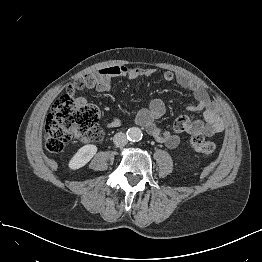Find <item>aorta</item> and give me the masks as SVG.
Wrapping results in <instances>:
<instances>
[{
    "mask_svg": "<svg viewBox=\"0 0 262 262\" xmlns=\"http://www.w3.org/2000/svg\"><path fill=\"white\" fill-rule=\"evenodd\" d=\"M142 131L138 127H132L127 131V137L130 141L137 142L142 139Z\"/></svg>",
    "mask_w": 262,
    "mask_h": 262,
    "instance_id": "1",
    "label": "aorta"
}]
</instances>
